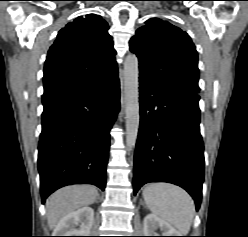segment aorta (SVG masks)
<instances>
[{
    "label": "aorta",
    "mask_w": 248,
    "mask_h": 237,
    "mask_svg": "<svg viewBox=\"0 0 248 237\" xmlns=\"http://www.w3.org/2000/svg\"><path fill=\"white\" fill-rule=\"evenodd\" d=\"M124 99L126 114V146L131 150L136 143L139 130V62L129 54L124 62Z\"/></svg>",
    "instance_id": "762f6f07"
}]
</instances>
